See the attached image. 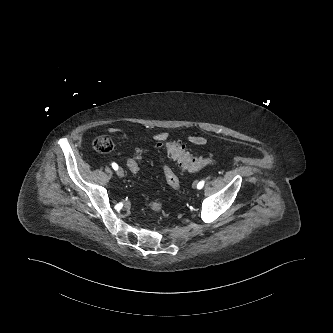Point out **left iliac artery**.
I'll list each match as a JSON object with an SVG mask.
<instances>
[{
    "instance_id": "44dca946",
    "label": "left iliac artery",
    "mask_w": 333,
    "mask_h": 333,
    "mask_svg": "<svg viewBox=\"0 0 333 333\" xmlns=\"http://www.w3.org/2000/svg\"><path fill=\"white\" fill-rule=\"evenodd\" d=\"M204 183H205L204 180L200 181V182L197 184V189H202L203 186H204Z\"/></svg>"
}]
</instances>
